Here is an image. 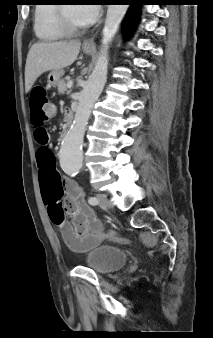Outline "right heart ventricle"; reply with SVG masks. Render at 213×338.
<instances>
[{
    "mask_svg": "<svg viewBox=\"0 0 213 338\" xmlns=\"http://www.w3.org/2000/svg\"><path fill=\"white\" fill-rule=\"evenodd\" d=\"M35 6L34 12V31L36 36L45 42H54L64 38L65 34L58 26V12L56 5H50L45 0H41Z\"/></svg>",
    "mask_w": 213,
    "mask_h": 338,
    "instance_id": "e07e8e85",
    "label": "right heart ventricle"
}]
</instances>
